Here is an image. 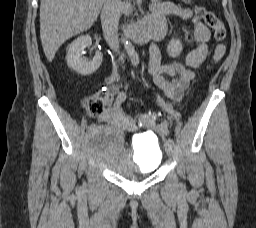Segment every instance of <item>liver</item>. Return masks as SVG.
<instances>
[{
    "mask_svg": "<svg viewBox=\"0 0 256 228\" xmlns=\"http://www.w3.org/2000/svg\"><path fill=\"white\" fill-rule=\"evenodd\" d=\"M104 1L41 0L40 37L49 62L65 41L94 24Z\"/></svg>",
    "mask_w": 256,
    "mask_h": 228,
    "instance_id": "1",
    "label": "liver"
}]
</instances>
